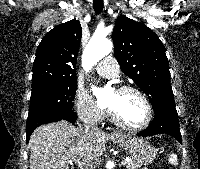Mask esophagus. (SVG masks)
I'll list each match as a JSON object with an SVG mask.
<instances>
[{"label":"esophagus","mask_w":200,"mask_h":169,"mask_svg":"<svg viewBox=\"0 0 200 169\" xmlns=\"http://www.w3.org/2000/svg\"><path fill=\"white\" fill-rule=\"evenodd\" d=\"M113 136L120 137V136H122V134L120 132H114Z\"/></svg>","instance_id":"34e87169"}]
</instances>
